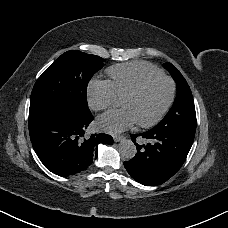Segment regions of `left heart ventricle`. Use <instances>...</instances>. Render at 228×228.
I'll list each match as a JSON object with an SVG mask.
<instances>
[{
  "mask_svg": "<svg viewBox=\"0 0 228 228\" xmlns=\"http://www.w3.org/2000/svg\"><path fill=\"white\" fill-rule=\"evenodd\" d=\"M168 90V83L160 80L142 95L125 99L123 103L139 122H148L160 111L168 96Z\"/></svg>",
  "mask_w": 228,
  "mask_h": 228,
  "instance_id": "left-heart-ventricle-1",
  "label": "left heart ventricle"
}]
</instances>
